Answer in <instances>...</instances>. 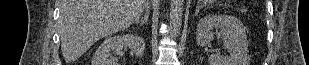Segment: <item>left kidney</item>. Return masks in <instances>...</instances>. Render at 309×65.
Listing matches in <instances>:
<instances>
[{
	"label": "left kidney",
	"instance_id": "1",
	"mask_svg": "<svg viewBox=\"0 0 309 65\" xmlns=\"http://www.w3.org/2000/svg\"><path fill=\"white\" fill-rule=\"evenodd\" d=\"M214 30L219 31L229 55L212 54L210 65H247L249 59L248 40L242 22L229 15H207L197 25L196 41L199 46H206L214 38Z\"/></svg>",
	"mask_w": 309,
	"mask_h": 65
}]
</instances>
